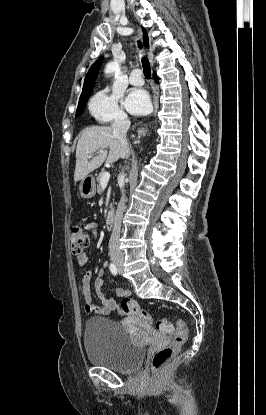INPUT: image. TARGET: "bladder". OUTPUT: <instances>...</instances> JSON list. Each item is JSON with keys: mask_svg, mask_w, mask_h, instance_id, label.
I'll use <instances>...</instances> for the list:
<instances>
[{"mask_svg": "<svg viewBox=\"0 0 266 415\" xmlns=\"http://www.w3.org/2000/svg\"><path fill=\"white\" fill-rule=\"evenodd\" d=\"M83 343L89 362L117 372L135 370L145 355V348L120 323L108 318L88 319Z\"/></svg>", "mask_w": 266, "mask_h": 415, "instance_id": "31cf9c89", "label": "bladder"}]
</instances>
